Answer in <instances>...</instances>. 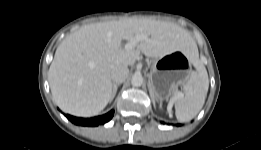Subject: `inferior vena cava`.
<instances>
[{"mask_svg": "<svg viewBox=\"0 0 261 150\" xmlns=\"http://www.w3.org/2000/svg\"><path fill=\"white\" fill-rule=\"evenodd\" d=\"M129 74L127 66H115L111 71V79L113 84H120L126 80Z\"/></svg>", "mask_w": 261, "mask_h": 150, "instance_id": "1", "label": "inferior vena cava"}]
</instances>
